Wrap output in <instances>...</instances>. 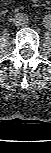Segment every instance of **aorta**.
I'll return each mask as SVG.
<instances>
[{
    "label": "aorta",
    "instance_id": "762f6f07",
    "mask_svg": "<svg viewBox=\"0 0 51 153\" xmlns=\"http://www.w3.org/2000/svg\"><path fill=\"white\" fill-rule=\"evenodd\" d=\"M42 26H43V28L46 29V30L51 29V18H49V17L44 18V19H43Z\"/></svg>",
    "mask_w": 51,
    "mask_h": 153
}]
</instances>
